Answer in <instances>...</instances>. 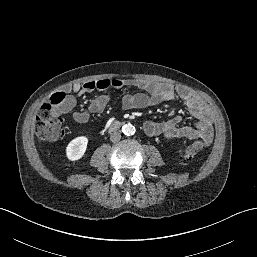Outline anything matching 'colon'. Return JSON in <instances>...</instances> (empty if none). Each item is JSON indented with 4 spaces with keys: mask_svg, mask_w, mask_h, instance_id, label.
Here are the masks:
<instances>
[{
    "mask_svg": "<svg viewBox=\"0 0 257 257\" xmlns=\"http://www.w3.org/2000/svg\"><path fill=\"white\" fill-rule=\"evenodd\" d=\"M68 95L64 91L53 94L49 102L42 105L35 118L34 128L37 135L47 142L60 140L65 133L62 114L65 113V104ZM207 145L206 140L198 139L191 148L181 154V158L188 160L195 153L202 151Z\"/></svg>",
    "mask_w": 257,
    "mask_h": 257,
    "instance_id": "colon-1",
    "label": "colon"
}]
</instances>
